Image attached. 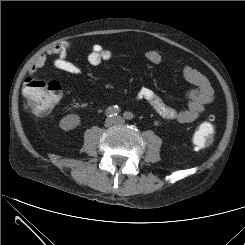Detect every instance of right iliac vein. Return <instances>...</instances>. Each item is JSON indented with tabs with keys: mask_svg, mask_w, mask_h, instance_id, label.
I'll return each instance as SVG.
<instances>
[{
	"mask_svg": "<svg viewBox=\"0 0 245 245\" xmlns=\"http://www.w3.org/2000/svg\"><path fill=\"white\" fill-rule=\"evenodd\" d=\"M104 124H105L106 127H111L113 125L118 124V119L115 118V117L107 118Z\"/></svg>",
	"mask_w": 245,
	"mask_h": 245,
	"instance_id": "right-iliac-vein-1",
	"label": "right iliac vein"
}]
</instances>
